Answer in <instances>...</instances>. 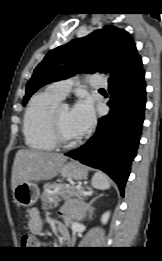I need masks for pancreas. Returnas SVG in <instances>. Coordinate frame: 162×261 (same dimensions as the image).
I'll return each instance as SVG.
<instances>
[{
    "label": "pancreas",
    "mask_w": 162,
    "mask_h": 261,
    "mask_svg": "<svg viewBox=\"0 0 162 261\" xmlns=\"http://www.w3.org/2000/svg\"><path fill=\"white\" fill-rule=\"evenodd\" d=\"M86 190H90V187L86 186L85 188L76 189V186H69L65 183L46 184L41 196L43 207L46 208L48 205L56 204L60 198L85 197Z\"/></svg>",
    "instance_id": "1"
}]
</instances>
